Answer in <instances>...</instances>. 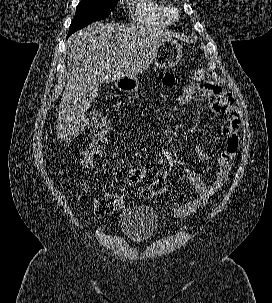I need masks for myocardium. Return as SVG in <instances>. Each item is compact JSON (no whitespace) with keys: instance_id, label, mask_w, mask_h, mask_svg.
<instances>
[{"instance_id":"1","label":"myocardium","mask_w":272,"mask_h":303,"mask_svg":"<svg viewBox=\"0 0 272 303\" xmlns=\"http://www.w3.org/2000/svg\"><path fill=\"white\" fill-rule=\"evenodd\" d=\"M168 18L170 21H176L178 18L177 12L174 9L168 11Z\"/></svg>"}]
</instances>
